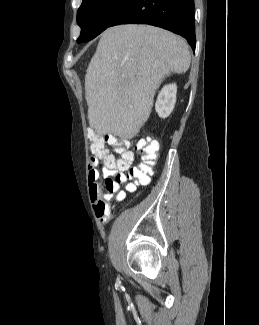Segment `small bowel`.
<instances>
[{"mask_svg":"<svg viewBox=\"0 0 259 325\" xmlns=\"http://www.w3.org/2000/svg\"><path fill=\"white\" fill-rule=\"evenodd\" d=\"M102 159L103 165L100 167V169L98 160L96 158L90 159L88 164V182L89 193L94 204L95 214L100 220L106 221L109 219L111 214L110 207L106 201L111 200L112 195L102 194L98 180L100 178V172L105 178L112 176L115 170L119 167L121 158H116L114 155L108 153L106 156L102 157Z\"/></svg>","mask_w":259,"mask_h":325,"instance_id":"obj_1","label":"small bowel"}]
</instances>
